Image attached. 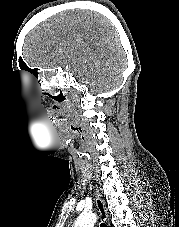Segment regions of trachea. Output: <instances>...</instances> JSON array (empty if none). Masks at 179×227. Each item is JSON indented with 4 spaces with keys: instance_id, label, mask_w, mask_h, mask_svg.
<instances>
[{
    "instance_id": "1",
    "label": "trachea",
    "mask_w": 179,
    "mask_h": 227,
    "mask_svg": "<svg viewBox=\"0 0 179 227\" xmlns=\"http://www.w3.org/2000/svg\"><path fill=\"white\" fill-rule=\"evenodd\" d=\"M100 227H107V225L105 223H101Z\"/></svg>"
}]
</instances>
